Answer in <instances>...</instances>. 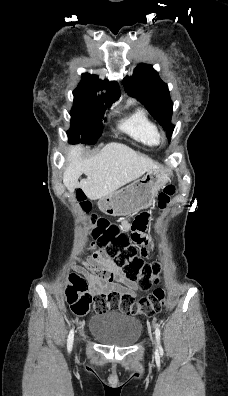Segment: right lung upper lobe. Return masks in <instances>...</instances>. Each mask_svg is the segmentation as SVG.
<instances>
[{
    "label": "right lung upper lobe",
    "instance_id": "obj_1",
    "mask_svg": "<svg viewBox=\"0 0 228 396\" xmlns=\"http://www.w3.org/2000/svg\"><path fill=\"white\" fill-rule=\"evenodd\" d=\"M82 77V81L74 92L96 96L107 104H112L113 101L120 97V88L117 82L102 81L97 75H90L88 73L82 74ZM103 89H106L107 92L97 96V91Z\"/></svg>",
    "mask_w": 228,
    "mask_h": 396
}]
</instances>
